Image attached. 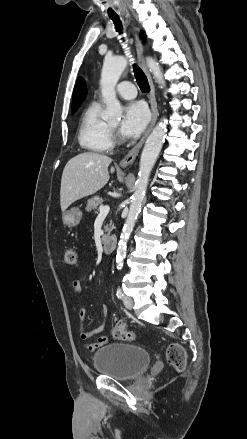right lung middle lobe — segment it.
I'll return each mask as SVG.
<instances>
[{
    "label": "right lung middle lobe",
    "instance_id": "right-lung-middle-lobe-1",
    "mask_svg": "<svg viewBox=\"0 0 247 439\" xmlns=\"http://www.w3.org/2000/svg\"><path fill=\"white\" fill-rule=\"evenodd\" d=\"M76 110H77V109H73V110H72V113H75V112H76Z\"/></svg>",
    "mask_w": 247,
    "mask_h": 439
}]
</instances>
